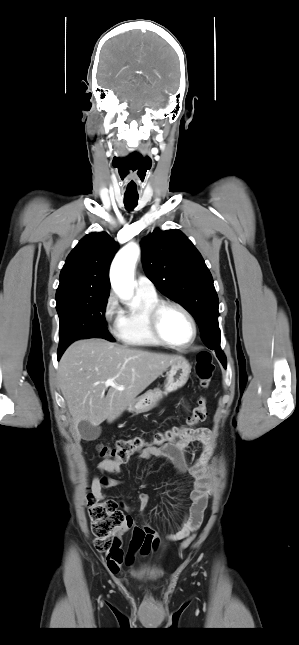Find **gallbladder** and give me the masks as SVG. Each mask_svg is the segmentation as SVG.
I'll return each mask as SVG.
<instances>
[{"label": "gallbladder", "mask_w": 299, "mask_h": 645, "mask_svg": "<svg viewBox=\"0 0 299 645\" xmlns=\"http://www.w3.org/2000/svg\"><path fill=\"white\" fill-rule=\"evenodd\" d=\"M81 438L86 441L96 440L101 434L99 426H93L88 421H81L78 425Z\"/></svg>", "instance_id": "1"}]
</instances>
